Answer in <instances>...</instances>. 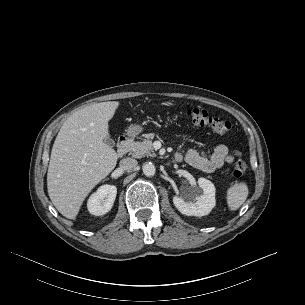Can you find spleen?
I'll use <instances>...</instances> for the list:
<instances>
[{"label": "spleen", "mask_w": 305, "mask_h": 305, "mask_svg": "<svg viewBox=\"0 0 305 305\" xmlns=\"http://www.w3.org/2000/svg\"><path fill=\"white\" fill-rule=\"evenodd\" d=\"M248 197V186L245 182L235 183L227 190V205L231 211H236Z\"/></svg>", "instance_id": "3e777b00"}]
</instances>
